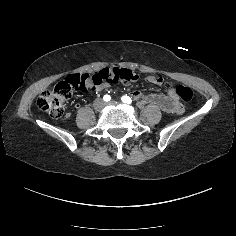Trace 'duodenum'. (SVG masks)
Wrapping results in <instances>:
<instances>
[{"label":"duodenum","mask_w":236,"mask_h":236,"mask_svg":"<svg viewBox=\"0 0 236 236\" xmlns=\"http://www.w3.org/2000/svg\"><path fill=\"white\" fill-rule=\"evenodd\" d=\"M137 101L140 105L145 106L151 103H157L164 111L178 112L182 110L179 102L173 97H141L138 96Z\"/></svg>","instance_id":"obj_1"}]
</instances>
